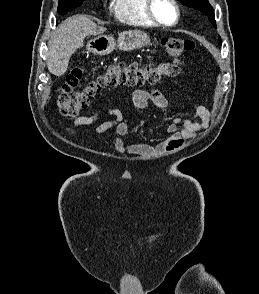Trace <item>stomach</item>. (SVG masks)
Wrapping results in <instances>:
<instances>
[{
  "instance_id": "stomach-1",
  "label": "stomach",
  "mask_w": 259,
  "mask_h": 294,
  "mask_svg": "<svg viewBox=\"0 0 259 294\" xmlns=\"http://www.w3.org/2000/svg\"><path fill=\"white\" fill-rule=\"evenodd\" d=\"M149 44V36L139 30L120 33L117 39V48L122 51H133ZM115 47L116 42L112 35L100 34L87 43L88 51L99 56L111 53Z\"/></svg>"
}]
</instances>
